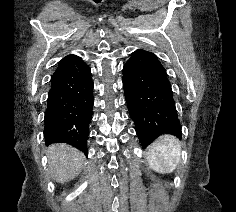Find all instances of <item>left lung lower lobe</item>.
<instances>
[{"label": "left lung lower lobe", "mask_w": 236, "mask_h": 212, "mask_svg": "<svg viewBox=\"0 0 236 212\" xmlns=\"http://www.w3.org/2000/svg\"><path fill=\"white\" fill-rule=\"evenodd\" d=\"M123 87L143 147L164 133L181 137L171 84L154 53L143 49L132 53L123 67Z\"/></svg>", "instance_id": "1"}]
</instances>
